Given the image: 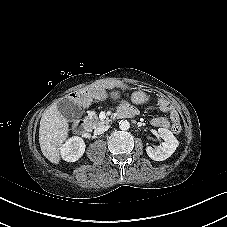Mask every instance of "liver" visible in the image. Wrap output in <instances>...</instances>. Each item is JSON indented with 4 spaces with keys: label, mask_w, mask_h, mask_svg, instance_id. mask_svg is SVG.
I'll return each mask as SVG.
<instances>
[{
    "label": "liver",
    "mask_w": 227,
    "mask_h": 227,
    "mask_svg": "<svg viewBox=\"0 0 227 227\" xmlns=\"http://www.w3.org/2000/svg\"><path fill=\"white\" fill-rule=\"evenodd\" d=\"M69 125L57 104L49 106L40 120L39 144L43 155L54 164L60 161V148L67 139Z\"/></svg>",
    "instance_id": "1"
}]
</instances>
